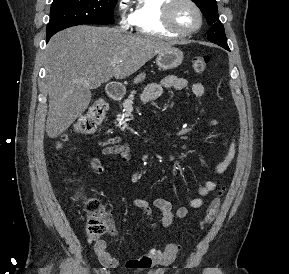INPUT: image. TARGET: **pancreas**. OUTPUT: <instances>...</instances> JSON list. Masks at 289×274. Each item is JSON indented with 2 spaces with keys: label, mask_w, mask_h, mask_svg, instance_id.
I'll use <instances>...</instances> for the list:
<instances>
[{
  "label": "pancreas",
  "mask_w": 289,
  "mask_h": 274,
  "mask_svg": "<svg viewBox=\"0 0 289 274\" xmlns=\"http://www.w3.org/2000/svg\"><path fill=\"white\" fill-rule=\"evenodd\" d=\"M132 104H133V93L123 103V108L125 109V113L122 115L119 114L117 116V121L119 122L117 126H119L121 130H124L125 128L128 127L126 122L129 120L128 117L131 116V113L133 111Z\"/></svg>",
  "instance_id": "1"
}]
</instances>
